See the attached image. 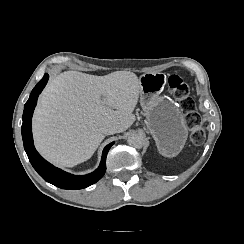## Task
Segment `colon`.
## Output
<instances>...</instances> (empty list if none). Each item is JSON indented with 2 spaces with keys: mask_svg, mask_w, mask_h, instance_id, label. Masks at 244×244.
Returning <instances> with one entry per match:
<instances>
[{
  "mask_svg": "<svg viewBox=\"0 0 244 244\" xmlns=\"http://www.w3.org/2000/svg\"><path fill=\"white\" fill-rule=\"evenodd\" d=\"M168 88L176 94L182 110L186 113L188 121L192 125L191 139L194 143H200L204 140L205 132L201 127L199 115L195 111L196 104L191 96L189 85L178 75H171L168 78Z\"/></svg>",
  "mask_w": 244,
  "mask_h": 244,
  "instance_id": "colon-1",
  "label": "colon"
}]
</instances>
